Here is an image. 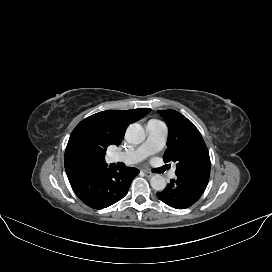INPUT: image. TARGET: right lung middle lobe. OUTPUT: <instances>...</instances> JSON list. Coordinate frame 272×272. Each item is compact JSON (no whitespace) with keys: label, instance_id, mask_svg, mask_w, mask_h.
I'll use <instances>...</instances> for the list:
<instances>
[{"label":"right lung middle lobe","instance_id":"obj_1","mask_svg":"<svg viewBox=\"0 0 272 272\" xmlns=\"http://www.w3.org/2000/svg\"><path fill=\"white\" fill-rule=\"evenodd\" d=\"M103 154L106 152V150H100Z\"/></svg>","mask_w":272,"mask_h":272}]
</instances>
